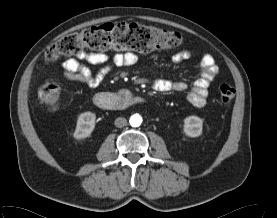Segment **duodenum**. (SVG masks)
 I'll list each match as a JSON object with an SVG mask.
<instances>
[{
    "label": "duodenum",
    "instance_id": "obj_1",
    "mask_svg": "<svg viewBox=\"0 0 277 218\" xmlns=\"http://www.w3.org/2000/svg\"><path fill=\"white\" fill-rule=\"evenodd\" d=\"M142 102V98L134 97L128 92L119 95H110L105 92H99L94 97V103L96 106L110 111L124 110L134 104Z\"/></svg>",
    "mask_w": 277,
    "mask_h": 218
}]
</instances>
